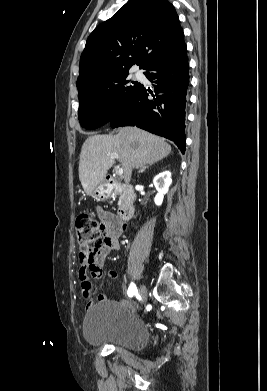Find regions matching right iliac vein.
Masks as SVG:
<instances>
[{
	"mask_svg": "<svg viewBox=\"0 0 267 391\" xmlns=\"http://www.w3.org/2000/svg\"><path fill=\"white\" fill-rule=\"evenodd\" d=\"M139 294H140V298L142 300H145L146 299V296H147V288L145 285H141L140 287V290H139Z\"/></svg>",
	"mask_w": 267,
	"mask_h": 391,
	"instance_id": "1",
	"label": "right iliac vein"
}]
</instances>
